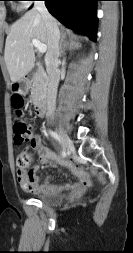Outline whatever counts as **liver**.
Segmentation results:
<instances>
[{"label": "liver", "instance_id": "liver-1", "mask_svg": "<svg viewBox=\"0 0 133 253\" xmlns=\"http://www.w3.org/2000/svg\"><path fill=\"white\" fill-rule=\"evenodd\" d=\"M32 39L39 40L49 48L45 22L36 9L26 12L16 21L6 38L4 59L13 83L19 81L34 66Z\"/></svg>", "mask_w": 133, "mask_h": 253}]
</instances>
